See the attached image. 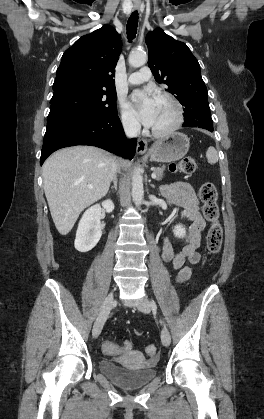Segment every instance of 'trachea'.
<instances>
[{
	"label": "trachea",
	"instance_id": "trachea-1",
	"mask_svg": "<svg viewBox=\"0 0 264 419\" xmlns=\"http://www.w3.org/2000/svg\"><path fill=\"white\" fill-rule=\"evenodd\" d=\"M138 27V12L131 14L127 22V37L131 41L135 38Z\"/></svg>",
	"mask_w": 264,
	"mask_h": 419
}]
</instances>
